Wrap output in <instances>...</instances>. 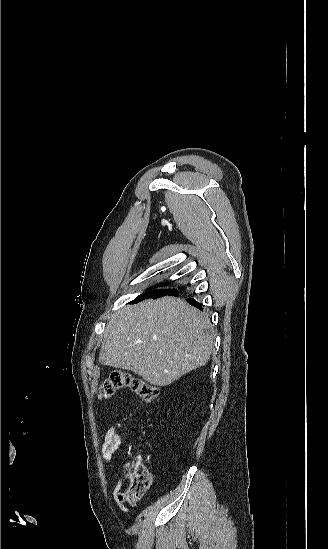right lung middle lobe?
Wrapping results in <instances>:
<instances>
[{
  "label": "right lung middle lobe",
  "mask_w": 328,
  "mask_h": 549,
  "mask_svg": "<svg viewBox=\"0 0 328 549\" xmlns=\"http://www.w3.org/2000/svg\"><path fill=\"white\" fill-rule=\"evenodd\" d=\"M175 289H152L138 296L133 302H138L146 298H157L164 295H177Z\"/></svg>",
  "instance_id": "right-lung-middle-lobe-1"
}]
</instances>
